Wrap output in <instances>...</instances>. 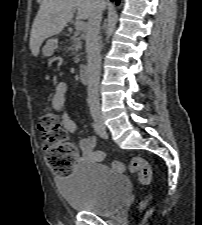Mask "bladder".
I'll return each mask as SVG.
<instances>
[{
	"mask_svg": "<svg viewBox=\"0 0 202 225\" xmlns=\"http://www.w3.org/2000/svg\"><path fill=\"white\" fill-rule=\"evenodd\" d=\"M59 187L72 210L111 216L129 196L130 181L125 174L112 172L105 164L85 160L77 163L74 172L64 177Z\"/></svg>",
	"mask_w": 202,
	"mask_h": 225,
	"instance_id": "31cf9c89",
	"label": "bladder"
}]
</instances>
